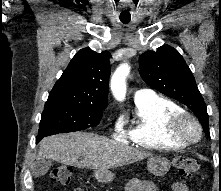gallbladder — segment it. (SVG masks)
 <instances>
[{
	"label": "gallbladder",
	"mask_w": 221,
	"mask_h": 191,
	"mask_svg": "<svg viewBox=\"0 0 221 191\" xmlns=\"http://www.w3.org/2000/svg\"><path fill=\"white\" fill-rule=\"evenodd\" d=\"M51 166H52L51 160L37 161L32 168V174L36 178L42 177L49 171Z\"/></svg>",
	"instance_id": "1"
}]
</instances>
